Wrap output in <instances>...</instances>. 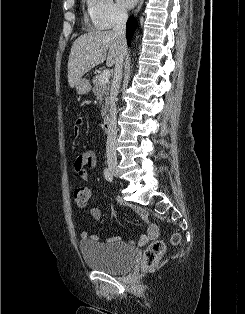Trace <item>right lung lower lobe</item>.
I'll return each mask as SVG.
<instances>
[{"instance_id": "1", "label": "right lung lower lobe", "mask_w": 245, "mask_h": 314, "mask_svg": "<svg viewBox=\"0 0 245 314\" xmlns=\"http://www.w3.org/2000/svg\"><path fill=\"white\" fill-rule=\"evenodd\" d=\"M126 26H127V31H126L127 43L128 45H130L132 34L134 33L137 26L136 21L134 20L133 17L129 18Z\"/></svg>"}]
</instances>
